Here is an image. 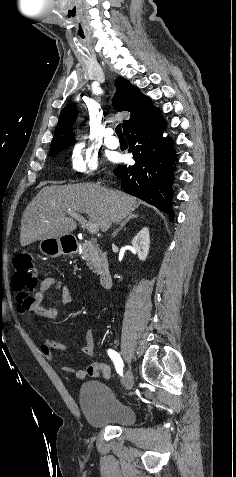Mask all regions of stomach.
I'll list each match as a JSON object with an SVG mask.
<instances>
[{
  "label": "stomach",
  "mask_w": 236,
  "mask_h": 477,
  "mask_svg": "<svg viewBox=\"0 0 236 477\" xmlns=\"http://www.w3.org/2000/svg\"><path fill=\"white\" fill-rule=\"evenodd\" d=\"M62 237L59 238H49L41 240L39 243L40 251L49 257H57L62 254L72 253L73 250L67 251L62 244Z\"/></svg>",
  "instance_id": "obj_1"
}]
</instances>
